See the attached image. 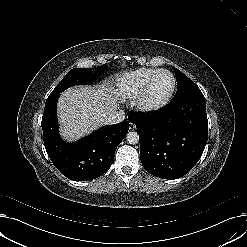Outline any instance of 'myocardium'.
Masks as SVG:
<instances>
[{"instance_id":"obj_1","label":"myocardium","mask_w":247,"mask_h":247,"mask_svg":"<svg viewBox=\"0 0 247 247\" xmlns=\"http://www.w3.org/2000/svg\"><path fill=\"white\" fill-rule=\"evenodd\" d=\"M161 73H166L171 77L172 85L167 94H165L162 97H154L151 95V86L156 77ZM175 88L176 79L174 75L167 69H158L147 81L141 93L134 99L133 104L135 108L142 113H149L158 110L169 102V100L173 96Z\"/></svg>"}]
</instances>
